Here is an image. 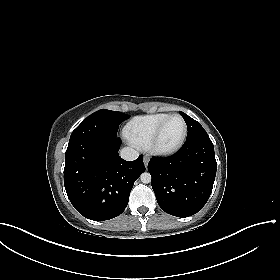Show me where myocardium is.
Returning <instances> with one entry per match:
<instances>
[{
    "instance_id": "1",
    "label": "myocardium",
    "mask_w": 280,
    "mask_h": 280,
    "mask_svg": "<svg viewBox=\"0 0 280 280\" xmlns=\"http://www.w3.org/2000/svg\"><path fill=\"white\" fill-rule=\"evenodd\" d=\"M174 117L180 118L181 121L183 122V133H182L181 137L179 138V140L177 142H175L174 144L169 145V146H161L160 138L163 133V130H164L167 122L171 118H174ZM187 133H188V125H187L185 118L179 113L169 114L167 117H165L161 121V123L157 127L155 134L153 135V137L150 141L148 149L152 154H154L156 156L171 155V154L175 153L184 144L186 137H187Z\"/></svg>"
}]
</instances>
